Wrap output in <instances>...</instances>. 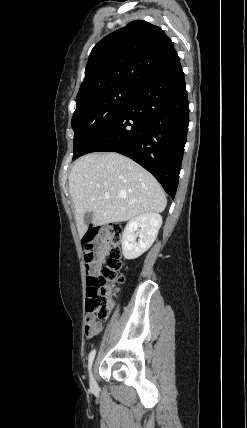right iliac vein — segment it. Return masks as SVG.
<instances>
[{
  "mask_svg": "<svg viewBox=\"0 0 247 428\" xmlns=\"http://www.w3.org/2000/svg\"><path fill=\"white\" fill-rule=\"evenodd\" d=\"M90 384H91V387H92L93 389H95V388H96V382H95V379H94V376H93V373H92V372L90 373Z\"/></svg>",
  "mask_w": 247,
  "mask_h": 428,
  "instance_id": "obj_1",
  "label": "right iliac vein"
}]
</instances>
